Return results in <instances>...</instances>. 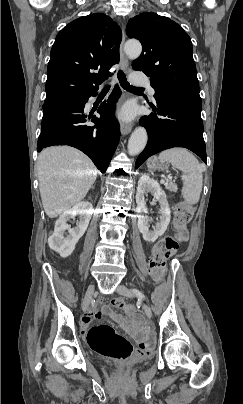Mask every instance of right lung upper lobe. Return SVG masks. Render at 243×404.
I'll return each instance as SVG.
<instances>
[{
	"label": "right lung upper lobe",
	"instance_id": "right-lung-upper-lobe-1",
	"mask_svg": "<svg viewBox=\"0 0 243 404\" xmlns=\"http://www.w3.org/2000/svg\"><path fill=\"white\" fill-rule=\"evenodd\" d=\"M121 39L118 24L102 13L66 25L51 49L44 105L97 92L111 66L119 62Z\"/></svg>",
	"mask_w": 243,
	"mask_h": 404
}]
</instances>
